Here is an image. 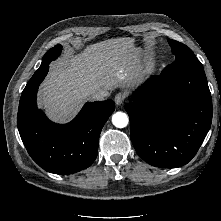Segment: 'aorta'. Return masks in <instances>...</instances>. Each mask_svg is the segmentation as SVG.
<instances>
[{"instance_id":"762f6f07","label":"aorta","mask_w":221,"mask_h":221,"mask_svg":"<svg viewBox=\"0 0 221 221\" xmlns=\"http://www.w3.org/2000/svg\"><path fill=\"white\" fill-rule=\"evenodd\" d=\"M112 123L117 128H124L128 125L129 118H128L127 114H125L123 112H116L112 116Z\"/></svg>"}]
</instances>
